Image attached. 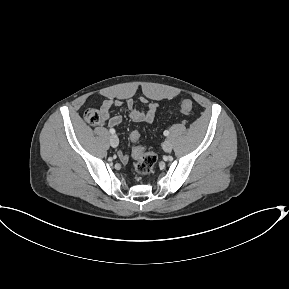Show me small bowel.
Masks as SVG:
<instances>
[{
  "label": "small bowel",
  "instance_id": "1",
  "mask_svg": "<svg viewBox=\"0 0 289 289\" xmlns=\"http://www.w3.org/2000/svg\"><path fill=\"white\" fill-rule=\"evenodd\" d=\"M141 103L145 105V109L140 110L135 107V103L133 100L129 99L126 101L123 100H113L106 99L102 105L100 110L104 113L105 119L108 122L110 127H117L121 124L122 118L119 115H114L109 117V113L112 107H121L126 106L130 111V117L135 122L140 123H151L157 114L158 104L156 102H149L147 99L143 98ZM119 158L122 163H127L128 156L119 152Z\"/></svg>",
  "mask_w": 289,
  "mask_h": 289
}]
</instances>
